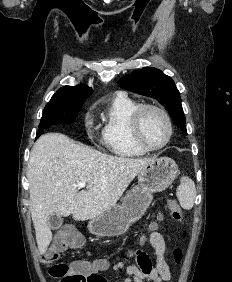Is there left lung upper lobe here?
<instances>
[{
	"label": "left lung upper lobe",
	"instance_id": "left-lung-upper-lobe-1",
	"mask_svg": "<svg viewBox=\"0 0 232 282\" xmlns=\"http://www.w3.org/2000/svg\"><path fill=\"white\" fill-rule=\"evenodd\" d=\"M118 85L128 91L158 100L168 110L175 125L187 134L180 92L169 76L159 69L146 67L123 77Z\"/></svg>",
	"mask_w": 232,
	"mask_h": 282
}]
</instances>
